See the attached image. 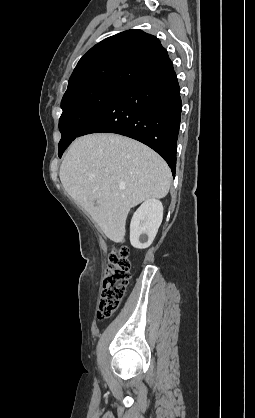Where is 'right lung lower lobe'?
Wrapping results in <instances>:
<instances>
[{"instance_id": "1", "label": "right lung lower lobe", "mask_w": 255, "mask_h": 418, "mask_svg": "<svg viewBox=\"0 0 255 418\" xmlns=\"http://www.w3.org/2000/svg\"><path fill=\"white\" fill-rule=\"evenodd\" d=\"M181 108L180 88L172 65L127 85L78 137L109 132L136 139L160 154L174 176Z\"/></svg>"}]
</instances>
